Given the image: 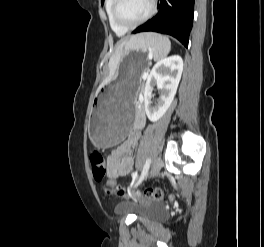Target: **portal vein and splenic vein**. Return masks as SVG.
Segmentation results:
<instances>
[{
	"instance_id": "18ae733b",
	"label": "portal vein and splenic vein",
	"mask_w": 264,
	"mask_h": 247,
	"mask_svg": "<svg viewBox=\"0 0 264 247\" xmlns=\"http://www.w3.org/2000/svg\"><path fill=\"white\" fill-rule=\"evenodd\" d=\"M147 78V72L145 71L143 74H142V79H146Z\"/></svg>"
}]
</instances>
